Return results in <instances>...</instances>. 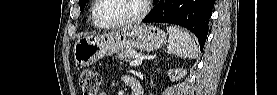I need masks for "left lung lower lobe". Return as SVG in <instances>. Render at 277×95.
<instances>
[{
  "mask_svg": "<svg viewBox=\"0 0 277 95\" xmlns=\"http://www.w3.org/2000/svg\"><path fill=\"white\" fill-rule=\"evenodd\" d=\"M143 22L172 23L183 26L198 38L203 50L208 34V21L215 0H161Z\"/></svg>",
  "mask_w": 277,
  "mask_h": 95,
  "instance_id": "left-lung-lower-lobe-1",
  "label": "left lung lower lobe"
}]
</instances>
